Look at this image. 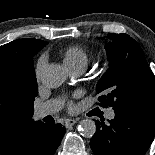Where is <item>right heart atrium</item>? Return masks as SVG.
I'll list each match as a JSON object with an SVG mask.
<instances>
[{"label":"right heart atrium","mask_w":155,"mask_h":155,"mask_svg":"<svg viewBox=\"0 0 155 155\" xmlns=\"http://www.w3.org/2000/svg\"><path fill=\"white\" fill-rule=\"evenodd\" d=\"M47 64V57L46 55H42L38 61H37V64H36V67H35V74H36V78L37 79H40L42 74H43V71L45 69V66Z\"/></svg>","instance_id":"1"}]
</instances>
